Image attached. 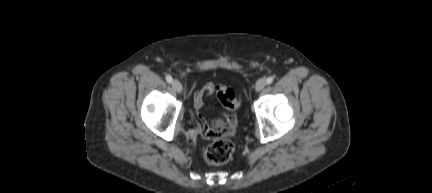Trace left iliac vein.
<instances>
[{
    "label": "left iliac vein",
    "mask_w": 432,
    "mask_h": 193,
    "mask_svg": "<svg viewBox=\"0 0 432 193\" xmlns=\"http://www.w3.org/2000/svg\"><path fill=\"white\" fill-rule=\"evenodd\" d=\"M265 86H266V81H265L264 79H259V80L256 82L255 90H256L257 92H260V91H262V90L265 88Z\"/></svg>",
    "instance_id": "1"
}]
</instances>
